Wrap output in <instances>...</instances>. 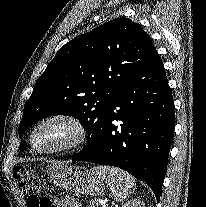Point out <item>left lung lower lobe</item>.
<instances>
[{"instance_id":"0a47b994","label":"left lung lower lobe","mask_w":206,"mask_h":207,"mask_svg":"<svg viewBox=\"0 0 206 207\" xmlns=\"http://www.w3.org/2000/svg\"><path fill=\"white\" fill-rule=\"evenodd\" d=\"M174 121L172 94L155 51L109 105L92 147L74 154L72 161L124 169L145 182L159 201Z\"/></svg>"}]
</instances>
